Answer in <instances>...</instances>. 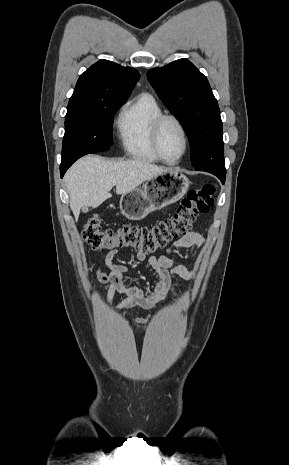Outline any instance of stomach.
Instances as JSON below:
<instances>
[{
  "instance_id": "obj_1",
  "label": "stomach",
  "mask_w": 289,
  "mask_h": 465,
  "mask_svg": "<svg viewBox=\"0 0 289 465\" xmlns=\"http://www.w3.org/2000/svg\"><path fill=\"white\" fill-rule=\"evenodd\" d=\"M191 181L181 172L171 169L147 180L142 188L125 193L120 210L129 220H142L149 213L177 202L187 192Z\"/></svg>"
}]
</instances>
